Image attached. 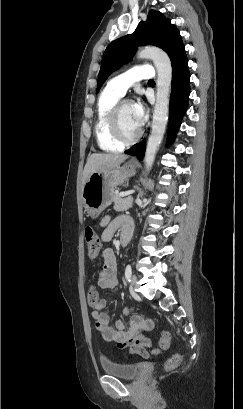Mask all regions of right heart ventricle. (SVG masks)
<instances>
[{"label": "right heart ventricle", "mask_w": 243, "mask_h": 409, "mask_svg": "<svg viewBox=\"0 0 243 409\" xmlns=\"http://www.w3.org/2000/svg\"><path fill=\"white\" fill-rule=\"evenodd\" d=\"M120 98L121 96L106 87L98 100L94 133L98 147L105 152H118L123 148V145L113 138L109 128L111 111Z\"/></svg>", "instance_id": "1"}]
</instances>
